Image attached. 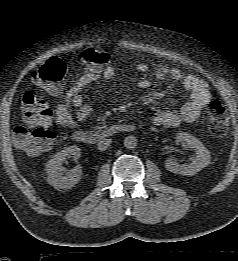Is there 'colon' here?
I'll return each instance as SVG.
<instances>
[{
    "mask_svg": "<svg viewBox=\"0 0 238 261\" xmlns=\"http://www.w3.org/2000/svg\"><path fill=\"white\" fill-rule=\"evenodd\" d=\"M110 60L109 53L104 49H88L80 57L81 64L91 71H100ZM66 74V65L59 58H51L34 71L33 81L52 93L61 90ZM24 125L17 126L13 131V142L23 153L39 155L47 150L56 138L50 130L52 112L47 102L31 92L24 94L22 99ZM206 120L214 137L226 134L229 111L219 100H212L207 107Z\"/></svg>",
    "mask_w": 238,
    "mask_h": 261,
    "instance_id": "1",
    "label": "colon"
}]
</instances>
